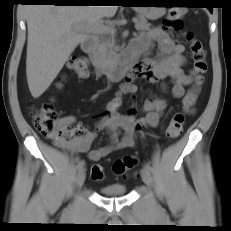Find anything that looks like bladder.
<instances>
[{
    "label": "bladder",
    "instance_id": "bladder-1",
    "mask_svg": "<svg viewBox=\"0 0 231 231\" xmlns=\"http://www.w3.org/2000/svg\"><path fill=\"white\" fill-rule=\"evenodd\" d=\"M126 186L121 184L106 185L100 188V193L104 196L119 197L125 195Z\"/></svg>",
    "mask_w": 231,
    "mask_h": 231
}]
</instances>
